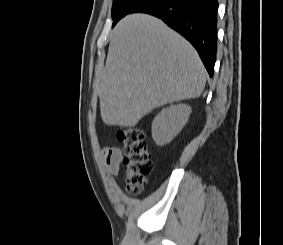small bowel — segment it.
Returning a JSON list of instances; mask_svg holds the SVG:
<instances>
[{
    "instance_id": "c3829d8e",
    "label": "small bowel",
    "mask_w": 283,
    "mask_h": 245,
    "mask_svg": "<svg viewBox=\"0 0 283 245\" xmlns=\"http://www.w3.org/2000/svg\"><path fill=\"white\" fill-rule=\"evenodd\" d=\"M106 170L109 174H115L122 158L121 150L116 146L105 147L101 151Z\"/></svg>"
}]
</instances>
